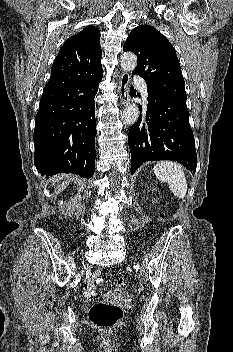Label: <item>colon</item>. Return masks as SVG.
Listing matches in <instances>:
<instances>
[{"mask_svg":"<svg viewBox=\"0 0 233 352\" xmlns=\"http://www.w3.org/2000/svg\"><path fill=\"white\" fill-rule=\"evenodd\" d=\"M101 278L98 273L88 277L84 283V293L86 296L96 298L100 289L99 283ZM124 279L119 278L116 280L117 286H123ZM89 320L101 329H111L116 326L123 316V310L120 306L96 299L88 313Z\"/></svg>","mask_w":233,"mask_h":352,"instance_id":"1","label":"colon"}]
</instances>
